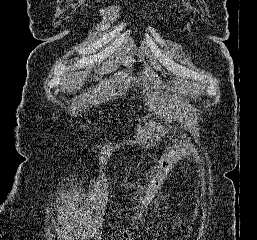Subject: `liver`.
I'll return each instance as SVG.
<instances>
[{
	"label": "liver",
	"mask_w": 257,
	"mask_h": 240,
	"mask_svg": "<svg viewBox=\"0 0 257 240\" xmlns=\"http://www.w3.org/2000/svg\"><path fill=\"white\" fill-rule=\"evenodd\" d=\"M87 73H73L69 75L68 81L65 82V88L70 90L76 87L78 84H82V77H86Z\"/></svg>",
	"instance_id": "1"
}]
</instances>
